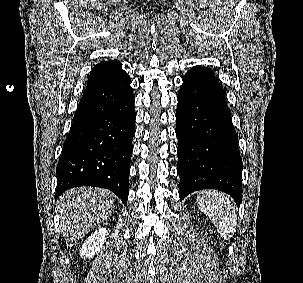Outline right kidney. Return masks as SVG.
I'll use <instances>...</instances> for the list:
<instances>
[{
    "label": "right kidney",
    "instance_id": "obj_1",
    "mask_svg": "<svg viewBox=\"0 0 303 283\" xmlns=\"http://www.w3.org/2000/svg\"><path fill=\"white\" fill-rule=\"evenodd\" d=\"M107 235L108 230H106V228H100L95 231L83 243L80 249V255L84 258H93L94 255L97 254L103 247Z\"/></svg>",
    "mask_w": 303,
    "mask_h": 283
}]
</instances>
